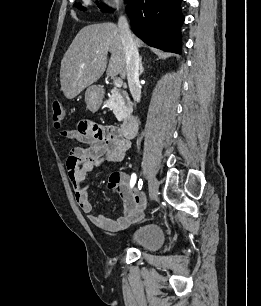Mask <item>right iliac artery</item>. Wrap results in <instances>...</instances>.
Here are the masks:
<instances>
[{"label": "right iliac artery", "instance_id": "right-iliac-artery-1", "mask_svg": "<svg viewBox=\"0 0 261 306\" xmlns=\"http://www.w3.org/2000/svg\"><path fill=\"white\" fill-rule=\"evenodd\" d=\"M135 182H136V175L132 174V176H131V187L134 186ZM142 185H143V181H142V179H139V181H138V189L139 190L142 189Z\"/></svg>", "mask_w": 261, "mask_h": 306}]
</instances>
